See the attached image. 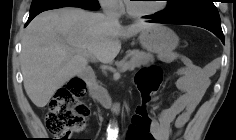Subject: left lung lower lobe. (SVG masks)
I'll return each mask as SVG.
<instances>
[{"label": "left lung lower lobe", "instance_id": "obj_1", "mask_svg": "<svg viewBox=\"0 0 236 140\" xmlns=\"http://www.w3.org/2000/svg\"><path fill=\"white\" fill-rule=\"evenodd\" d=\"M150 22L153 23H165V24H186V25H194L205 28L211 32H213L224 44V34L221 29V24L201 21V20H188V19H168L163 15H158L152 18Z\"/></svg>", "mask_w": 236, "mask_h": 140}]
</instances>
